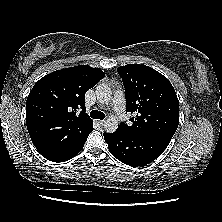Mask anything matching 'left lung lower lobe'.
Instances as JSON below:
<instances>
[{
  "mask_svg": "<svg viewBox=\"0 0 222 222\" xmlns=\"http://www.w3.org/2000/svg\"><path fill=\"white\" fill-rule=\"evenodd\" d=\"M111 154L134 167L144 166L158 158L171 139L160 136L131 135L120 130L104 133Z\"/></svg>",
  "mask_w": 222,
  "mask_h": 222,
  "instance_id": "0a47b994",
  "label": "left lung lower lobe"
}]
</instances>
